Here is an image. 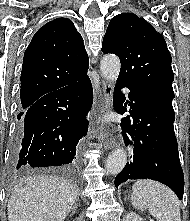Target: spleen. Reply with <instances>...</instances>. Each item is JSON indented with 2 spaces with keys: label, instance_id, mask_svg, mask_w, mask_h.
Wrapping results in <instances>:
<instances>
[{
  "label": "spleen",
  "instance_id": "spleen-1",
  "mask_svg": "<svg viewBox=\"0 0 190 221\" xmlns=\"http://www.w3.org/2000/svg\"><path fill=\"white\" fill-rule=\"evenodd\" d=\"M131 200L136 209H148L158 221H181L176 195L158 182L138 180L132 187Z\"/></svg>",
  "mask_w": 190,
  "mask_h": 221
}]
</instances>
